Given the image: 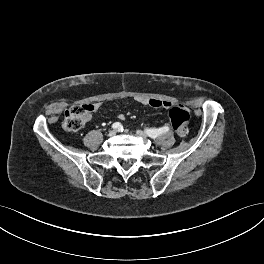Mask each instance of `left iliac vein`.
Returning <instances> with one entry per match:
<instances>
[{"label":"left iliac vein","mask_w":264,"mask_h":264,"mask_svg":"<svg viewBox=\"0 0 264 264\" xmlns=\"http://www.w3.org/2000/svg\"><path fill=\"white\" fill-rule=\"evenodd\" d=\"M136 134L140 137H143V138H146L147 137V134L141 130H137L136 131Z\"/></svg>","instance_id":"1"}]
</instances>
